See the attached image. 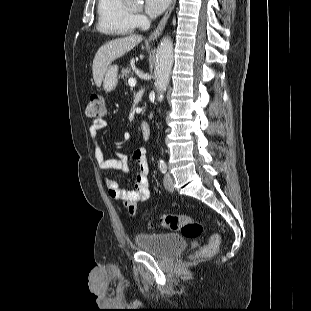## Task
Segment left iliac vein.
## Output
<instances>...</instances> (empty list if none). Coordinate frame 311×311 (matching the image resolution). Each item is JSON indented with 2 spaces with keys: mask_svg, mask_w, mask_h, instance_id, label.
<instances>
[{
  "mask_svg": "<svg viewBox=\"0 0 311 311\" xmlns=\"http://www.w3.org/2000/svg\"><path fill=\"white\" fill-rule=\"evenodd\" d=\"M164 186L169 192L174 191V182L170 173H166L164 176Z\"/></svg>",
  "mask_w": 311,
  "mask_h": 311,
  "instance_id": "obj_1",
  "label": "left iliac vein"
}]
</instances>
